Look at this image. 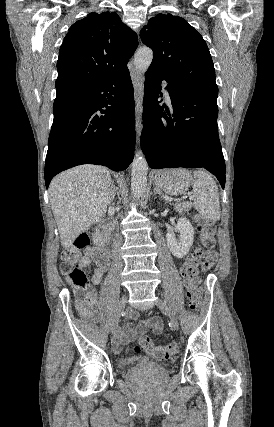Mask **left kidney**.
<instances>
[{"mask_svg": "<svg viewBox=\"0 0 274 427\" xmlns=\"http://www.w3.org/2000/svg\"><path fill=\"white\" fill-rule=\"evenodd\" d=\"M174 231L180 233L178 239ZM167 245L175 257H184L188 253L194 239V227L187 217H179L172 231L166 233Z\"/></svg>", "mask_w": 274, "mask_h": 427, "instance_id": "1", "label": "left kidney"}]
</instances>
